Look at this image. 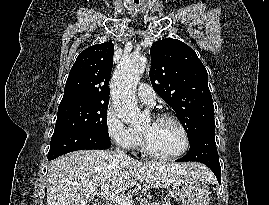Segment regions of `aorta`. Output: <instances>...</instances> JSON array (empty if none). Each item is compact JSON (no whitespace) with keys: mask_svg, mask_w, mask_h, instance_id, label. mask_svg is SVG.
I'll use <instances>...</instances> for the list:
<instances>
[{"mask_svg":"<svg viewBox=\"0 0 269 205\" xmlns=\"http://www.w3.org/2000/svg\"><path fill=\"white\" fill-rule=\"evenodd\" d=\"M146 64L147 59L142 55L125 56L111 81L114 109L118 118L130 126H138L145 120L135 100V89Z\"/></svg>","mask_w":269,"mask_h":205,"instance_id":"1","label":"aorta"}]
</instances>
